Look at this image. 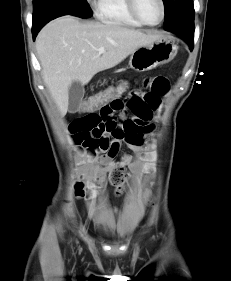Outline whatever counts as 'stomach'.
I'll return each mask as SVG.
<instances>
[{"instance_id": "obj_1", "label": "stomach", "mask_w": 231, "mask_h": 281, "mask_svg": "<svg viewBox=\"0 0 231 281\" xmlns=\"http://www.w3.org/2000/svg\"><path fill=\"white\" fill-rule=\"evenodd\" d=\"M177 49L172 37L162 36L157 41L139 47L131 53L129 66L138 72L154 69L170 62L176 56Z\"/></svg>"}]
</instances>
